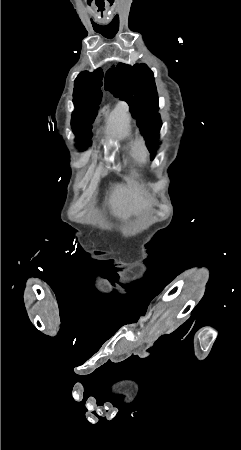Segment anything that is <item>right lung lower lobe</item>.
<instances>
[{
	"label": "right lung lower lobe",
	"instance_id": "right-lung-lower-lobe-1",
	"mask_svg": "<svg viewBox=\"0 0 241 450\" xmlns=\"http://www.w3.org/2000/svg\"><path fill=\"white\" fill-rule=\"evenodd\" d=\"M93 116L91 113H86L84 114L80 119H79V123L77 128L75 129L74 133L76 134V136L78 137V140L84 142L85 144H83V146H87L88 144V138L89 135L91 134V129L92 126L91 124L93 123Z\"/></svg>",
	"mask_w": 241,
	"mask_h": 450
}]
</instances>
